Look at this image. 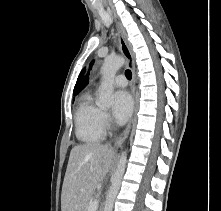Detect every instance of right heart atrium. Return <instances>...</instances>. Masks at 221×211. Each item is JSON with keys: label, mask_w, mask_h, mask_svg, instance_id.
<instances>
[{"label": "right heart atrium", "mask_w": 221, "mask_h": 211, "mask_svg": "<svg viewBox=\"0 0 221 211\" xmlns=\"http://www.w3.org/2000/svg\"><path fill=\"white\" fill-rule=\"evenodd\" d=\"M100 125L103 131L111 127L110 117L105 111H101L100 113Z\"/></svg>", "instance_id": "right-heart-atrium-1"}]
</instances>
